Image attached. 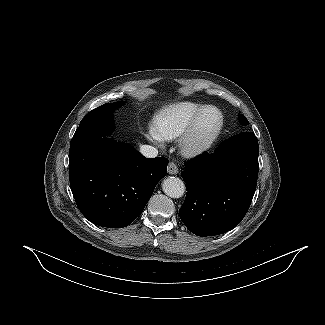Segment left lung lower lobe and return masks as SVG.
<instances>
[{
	"instance_id": "left-lung-lower-lobe-1",
	"label": "left lung lower lobe",
	"mask_w": 325,
	"mask_h": 325,
	"mask_svg": "<svg viewBox=\"0 0 325 325\" xmlns=\"http://www.w3.org/2000/svg\"><path fill=\"white\" fill-rule=\"evenodd\" d=\"M258 154L254 133L243 132L185 163L188 192L179 213L192 233L219 235L241 222L255 193Z\"/></svg>"
}]
</instances>
